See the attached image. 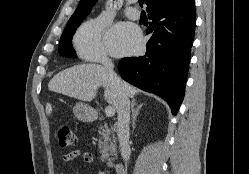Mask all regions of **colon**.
Listing matches in <instances>:
<instances>
[{"mask_svg":"<svg viewBox=\"0 0 249 174\" xmlns=\"http://www.w3.org/2000/svg\"><path fill=\"white\" fill-rule=\"evenodd\" d=\"M58 142L62 147H70L75 144V136L68 124H60L57 128Z\"/></svg>","mask_w":249,"mask_h":174,"instance_id":"5ec220e1","label":"colon"}]
</instances>
